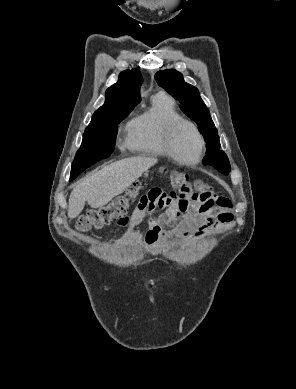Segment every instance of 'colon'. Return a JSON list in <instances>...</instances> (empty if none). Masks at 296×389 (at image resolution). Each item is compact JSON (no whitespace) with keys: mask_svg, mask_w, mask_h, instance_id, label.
Listing matches in <instances>:
<instances>
[{"mask_svg":"<svg viewBox=\"0 0 296 389\" xmlns=\"http://www.w3.org/2000/svg\"><path fill=\"white\" fill-rule=\"evenodd\" d=\"M172 186L178 190L181 196L192 193H207L210 189L201 180H191L189 175L183 170H173L168 172ZM139 185L134 184L125 194L113 199L108 204L91 209L80 217L78 229L88 232L94 229L102 228L113 221L124 224L127 221V213L130 206L138 196ZM158 194H154L156 197Z\"/></svg>","mask_w":296,"mask_h":389,"instance_id":"colon-1","label":"colon"}]
</instances>
